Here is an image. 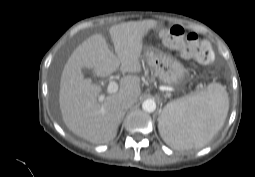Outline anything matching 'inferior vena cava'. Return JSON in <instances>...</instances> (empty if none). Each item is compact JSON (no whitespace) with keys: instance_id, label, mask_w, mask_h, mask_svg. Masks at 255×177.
<instances>
[{"instance_id":"602c4592","label":"inferior vena cava","mask_w":255,"mask_h":177,"mask_svg":"<svg viewBox=\"0 0 255 177\" xmlns=\"http://www.w3.org/2000/svg\"><path fill=\"white\" fill-rule=\"evenodd\" d=\"M135 103H136V99L134 97L127 96V97L123 98L121 104L124 109H128V108L132 107Z\"/></svg>"}]
</instances>
